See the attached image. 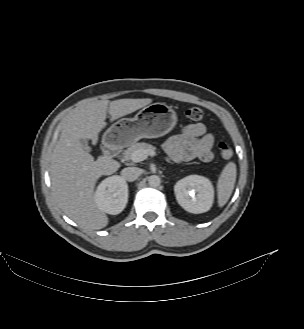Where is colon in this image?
I'll return each instance as SVG.
<instances>
[{"label":"colon","mask_w":304,"mask_h":329,"mask_svg":"<svg viewBox=\"0 0 304 329\" xmlns=\"http://www.w3.org/2000/svg\"><path fill=\"white\" fill-rule=\"evenodd\" d=\"M187 117L192 121H202L204 119V112L200 107H191L186 111ZM220 154L223 159H230L233 155L232 147L227 142H220L218 144Z\"/></svg>","instance_id":"obj_1"}]
</instances>
